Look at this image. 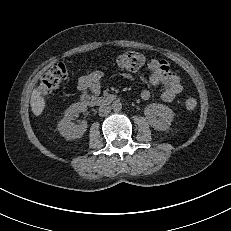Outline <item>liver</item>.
<instances>
[{
  "label": "liver",
  "mask_w": 231,
  "mask_h": 231,
  "mask_svg": "<svg viewBox=\"0 0 231 231\" xmlns=\"http://www.w3.org/2000/svg\"><path fill=\"white\" fill-rule=\"evenodd\" d=\"M30 105L32 112L36 116H40L46 106V101L44 97L41 95V92L38 88L34 89L30 99Z\"/></svg>",
  "instance_id": "1"
}]
</instances>
